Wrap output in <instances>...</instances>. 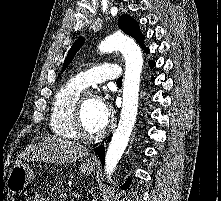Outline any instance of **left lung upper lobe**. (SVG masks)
I'll return each instance as SVG.
<instances>
[{
    "mask_svg": "<svg viewBox=\"0 0 221 201\" xmlns=\"http://www.w3.org/2000/svg\"><path fill=\"white\" fill-rule=\"evenodd\" d=\"M118 26L125 34L132 36L137 42H139L146 53H149V49L145 48L143 44L144 35H142V33L140 32L137 21H135L129 15H122L118 20ZM83 43H84L83 37H79L78 40L75 41L64 61L62 71H64L67 68V66L71 63L76 52L83 45Z\"/></svg>",
    "mask_w": 221,
    "mask_h": 201,
    "instance_id": "5c2ea615",
    "label": "left lung upper lobe"
}]
</instances>
